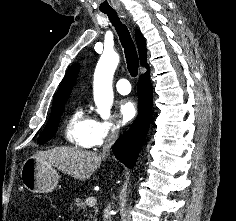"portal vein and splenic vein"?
Here are the masks:
<instances>
[{"label": "portal vein and splenic vein", "mask_w": 236, "mask_h": 221, "mask_svg": "<svg viewBox=\"0 0 236 221\" xmlns=\"http://www.w3.org/2000/svg\"><path fill=\"white\" fill-rule=\"evenodd\" d=\"M85 203L88 205V206H95L96 203H97V199L95 197H88L85 201Z\"/></svg>", "instance_id": "obj_1"}]
</instances>
